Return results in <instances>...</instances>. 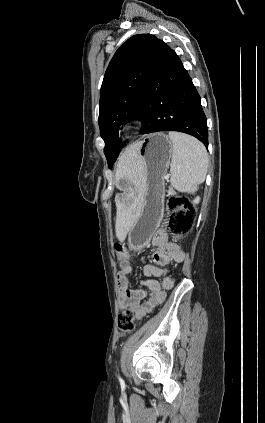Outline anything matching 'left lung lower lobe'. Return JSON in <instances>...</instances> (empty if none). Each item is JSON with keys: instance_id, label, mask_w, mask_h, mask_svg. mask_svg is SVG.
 <instances>
[{"instance_id": "1", "label": "left lung lower lobe", "mask_w": 265, "mask_h": 423, "mask_svg": "<svg viewBox=\"0 0 265 423\" xmlns=\"http://www.w3.org/2000/svg\"><path fill=\"white\" fill-rule=\"evenodd\" d=\"M136 119L142 121L141 134L178 131L208 146L200 96L181 60L164 42L141 94Z\"/></svg>"}]
</instances>
